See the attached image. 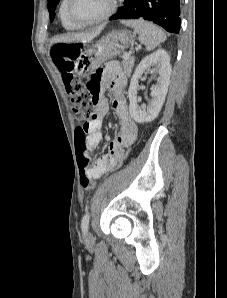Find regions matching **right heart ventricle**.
Masks as SVG:
<instances>
[{"instance_id": "e07e8e85", "label": "right heart ventricle", "mask_w": 227, "mask_h": 298, "mask_svg": "<svg viewBox=\"0 0 227 298\" xmlns=\"http://www.w3.org/2000/svg\"><path fill=\"white\" fill-rule=\"evenodd\" d=\"M66 4H67V0H62L60 7H59V17L61 20V23L63 25V27L67 30H75L78 28V26L74 25L73 23H71L69 21V19L67 18L66 15Z\"/></svg>"}]
</instances>
